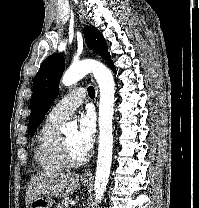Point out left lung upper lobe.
Here are the masks:
<instances>
[{
    "mask_svg": "<svg viewBox=\"0 0 199 208\" xmlns=\"http://www.w3.org/2000/svg\"><path fill=\"white\" fill-rule=\"evenodd\" d=\"M84 36L87 45L105 59H110L106 41L95 27L85 26ZM109 67L113 61L109 60ZM65 68L64 58L55 53L45 59L33 81V94L31 97V114L29 117L28 133L33 135L41 124L47 111L58 95V84Z\"/></svg>",
    "mask_w": 199,
    "mask_h": 208,
    "instance_id": "1",
    "label": "left lung upper lobe"
}]
</instances>
